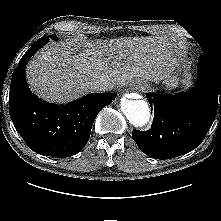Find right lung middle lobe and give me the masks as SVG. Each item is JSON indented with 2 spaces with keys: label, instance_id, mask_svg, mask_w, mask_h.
Masks as SVG:
<instances>
[{
  "label": "right lung middle lobe",
  "instance_id": "dd1d6c3e",
  "mask_svg": "<svg viewBox=\"0 0 221 221\" xmlns=\"http://www.w3.org/2000/svg\"><path fill=\"white\" fill-rule=\"evenodd\" d=\"M51 38H53L54 40H57V37H56L55 34H53V35L51 36Z\"/></svg>",
  "mask_w": 221,
  "mask_h": 221
}]
</instances>
